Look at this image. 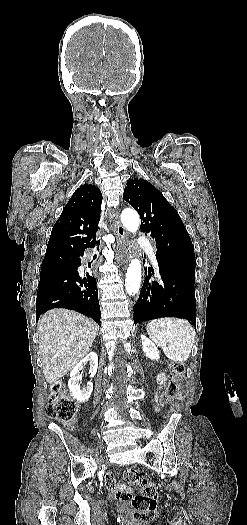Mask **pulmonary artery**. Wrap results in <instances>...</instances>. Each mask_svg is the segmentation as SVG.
Segmentation results:
<instances>
[{
	"instance_id": "pulmonary-artery-1",
	"label": "pulmonary artery",
	"mask_w": 247,
	"mask_h": 525,
	"mask_svg": "<svg viewBox=\"0 0 247 525\" xmlns=\"http://www.w3.org/2000/svg\"><path fill=\"white\" fill-rule=\"evenodd\" d=\"M140 242L143 250L147 253L146 257L149 260L150 265L153 267L158 266L160 260L156 254V240L150 236H142Z\"/></svg>"
}]
</instances>
